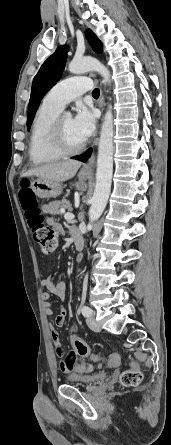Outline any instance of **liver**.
<instances>
[{"mask_svg":"<svg viewBox=\"0 0 171 445\" xmlns=\"http://www.w3.org/2000/svg\"><path fill=\"white\" fill-rule=\"evenodd\" d=\"M80 166V162L68 160L32 168L22 176H36L46 180L63 182L74 177Z\"/></svg>","mask_w":171,"mask_h":445,"instance_id":"obj_1","label":"liver"}]
</instances>
